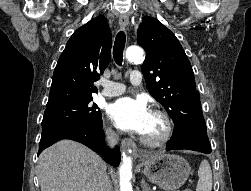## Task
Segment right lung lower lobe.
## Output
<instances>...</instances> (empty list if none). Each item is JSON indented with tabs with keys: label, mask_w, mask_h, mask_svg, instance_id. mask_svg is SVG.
Segmentation results:
<instances>
[{
	"label": "right lung lower lobe",
	"mask_w": 251,
	"mask_h": 191,
	"mask_svg": "<svg viewBox=\"0 0 251 191\" xmlns=\"http://www.w3.org/2000/svg\"><path fill=\"white\" fill-rule=\"evenodd\" d=\"M62 139H71L80 142L97 153H101L104 160L118 166L120 150L118 147L109 149L105 143L102 123L96 126L83 123H67L42 133L38 155L47 147Z\"/></svg>",
	"instance_id": "right-lung-lower-lobe-1"
}]
</instances>
